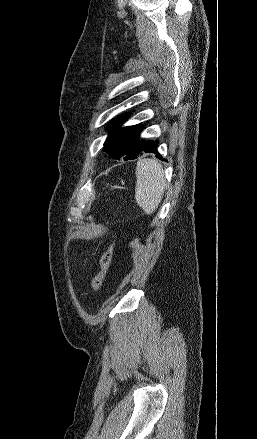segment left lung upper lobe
Instances as JSON below:
<instances>
[{
  "label": "left lung upper lobe",
  "mask_w": 257,
  "mask_h": 439,
  "mask_svg": "<svg viewBox=\"0 0 257 439\" xmlns=\"http://www.w3.org/2000/svg\"><path fill=\"white\" fill-rule=\"evenodd\" d=\"M130 113L119 116L108 125L110 133L104 143V152L114 159L124 158L129 155L139 142L142 126L119 127L123 124Z\"/></svg>",
  "instance_id": "5c2ea615"
}]
</instances>
